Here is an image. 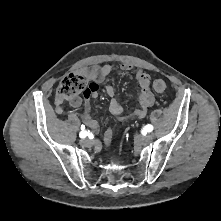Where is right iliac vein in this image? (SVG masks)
Returning a JSON list of instances; mask_svg holds the SVG:
<instances>
[{"instance_id": "1", "label": "right iliac vein", "mask_w": 221, "mask_h": 221, "mask_svg": "<svg viewBox=\"0 0 221 221\" xmlns=\"http://www.w3.org/2000/svg\"><path fill=\"white\" fill-rule=\"evenodd\" d=\"M80 143L85 147H90L93 144V142L90 139H83Z\"/></svg>"}]
</instances>
